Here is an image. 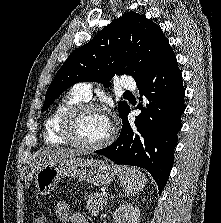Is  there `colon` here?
Segmentation results:
<instances>
[{"instance_id": "obj_1", "label": "colon", "mask_w": 221, "mask_h": 223, "mask_svg": "<svg viewBox=\"0 0 221 223\" xmlns=\"http://www.w3.org/2000/svg\"><path fill=\"white\" fill-rule=\"evenodd\" d=\"M33 223H51L50 218L42 211L34 214Z\"/></svg>"}]
</instances>
